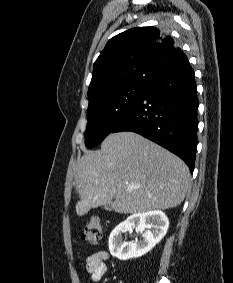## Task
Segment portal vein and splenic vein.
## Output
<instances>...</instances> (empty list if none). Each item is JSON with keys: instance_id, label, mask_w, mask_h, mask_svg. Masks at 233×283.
<instances>
[{"instance_id": "18ae733b", "label": "portal vein and splenic vein", "mask_w": 233, "mask_h": 283, "mask_svg": "<svg viewBox=\"0 0 233 283\" xmlns=\"http://www.w3.org/2000/svg\"><path fill=\"white\" fill-rule=\"evenodd\" d=\"M128 187L130 189H132V188H139L140 186L139 185L128 184Z\"/></svg>"}]
</instances>
